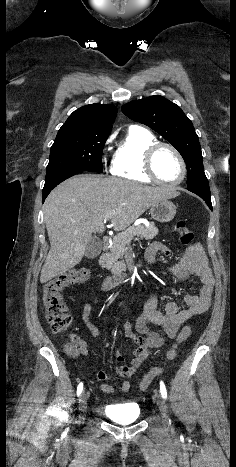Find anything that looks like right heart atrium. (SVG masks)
I'll use <instances>...</instances> for the list:
<instances>
[{
  "label": "right heart atrium",
  "mask_w": 236,
  "mask_h": 467,
  "mask_svg": "<svg viewBox=\"0 0 236 467\" xmlns=\"http://www.w3.org/2000/svg\"><path fill=\"white\" fill-rule=\"evenodd\" d=\"M112 138H109L107 141H106V145H108L110 142H111Z\"/></svg>",
  "instance_id": "d8ad5b80"
}]
</instances>
